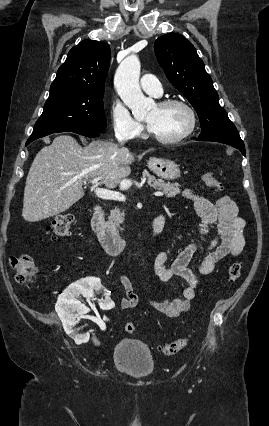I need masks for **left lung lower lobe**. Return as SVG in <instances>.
<instances>
[{
	"label": "left lung lower lobe",
	"instance_id": "obj_1",
	"mask_svg": "<svg viewBox=\"0 0 269 426\" xmlns=\"http://www.w3.org/2000/svg\"><path fill=\"white\" fill-rule=\"evenodd\" d=\"M199 141H214V142H220V143H224V144H228L230 146H233L235 148H237L238 150H240L243 154V156H245V146L243 141L240 138V135L238 133L237 130L235 131H231L228 133H224V134H219L216 135L214 137H202L199 136L198 139Z\"/></svg>",
	"mask_w": 269,
	"mask_h": 426
}]
</instances>
